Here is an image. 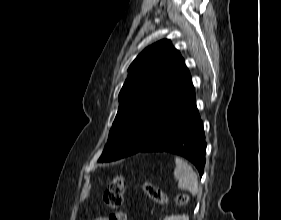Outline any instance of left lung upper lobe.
I'll list each match as a JSON object with an SVG mask.
<instances>
[{"label": "left lung upper lobe", "mask_w": 281, "mask_h": 220, "mask_svg": "<svg viewBox=\"0 0 281 220\" xmlns=\"http://www.w3.org/2000/svg\"><path fill=\"white\" fill-rule=\"evenodd\" d=\"M128 72L100 162L130 156L149 143L166 112L192 82L184 59L167 39L144 49Z\"/></svg>", "instance_id": "1"}]
</instances>
